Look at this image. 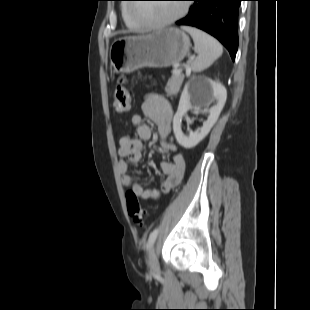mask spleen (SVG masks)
<instances>
[{"label": "spleen", "mask_w": 310, "mask_h": 310, "mask_svg": "<svg viewBox=\"0 0 310 310\" xmlns=\"http://www.w3.org/2000/svg\"><path fill=\"white\" fill-rule=\"evenodd\" d=\"M193 38L194 50L198 54L191 63V68L195 72H201L210 67L218 59L223 48L221 44L212 36L194 27H183Z\"/></svg>", "instance_id": "spleen-1"}]
</instances>
